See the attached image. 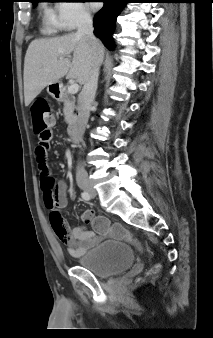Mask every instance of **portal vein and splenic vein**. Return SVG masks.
Here are the masks:
<instances>
[{
    "label": "portal vein and splenic vein",
    "mask_w": 213,
    "mask_h": 338,
    "mask_svg": "<svg viewBox=\"0 0 213 338\" xmlns=\"http://www.w3.org/2000/svg\"><path fill=\"white\" fill-rule=\"evenodd\" d=\"M78 90H79V85L76 84V83H73L68 87V92L71 93V94L77 93Z\"/></svg>",
    "instance_id": "portal-vein-and-splenic-vein-1"
}]
</instances>
